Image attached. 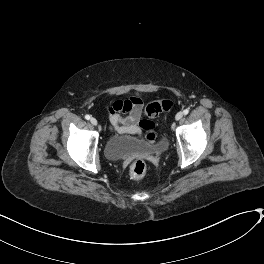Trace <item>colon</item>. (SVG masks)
I'll return each instance as SVG.
<instances>
[{"instance_id": "obj_1", "label": "colon", "mask_w": 264, "mask_h": 264, "mask_svg": "<svg viewBox=\"0 0 264 264\" xmlns=\"http://www.w3.org/2000/svg\"><path fill=\"white\" fill-rule=\"evenodd\" d=\"M170 107L171 102L169 100L152 101L146 106V119L143 123L144 135L146 139L154 140L157 138L154 119L160 116L163 112L169 110ZM146 170V163L142 160H137L130 167V176L133 179L138 180L145 175Z\"/></svg>"}]
</instances>
